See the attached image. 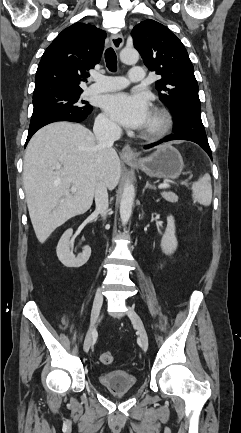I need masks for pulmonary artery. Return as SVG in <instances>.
<instances>
[{"label": "pulmonary artery", "mask_w": 241, "mask_h": 433, "mask_svg": "<svg viewBox=\"0 0 241 433\" xmlns=\"http://www.w3.org/2000/svg\"><path fill=\"white\" fill-rule=\"evenodd\" d=\"M145 80V72L142 66H133L130 69L128 81L122 76H104L95 77V83L92 84L88 91L90 93H101L124 88L128 82L140 84Z\"/></svg>", "instance_id": "e3ab8cb5"}]
</instances>
